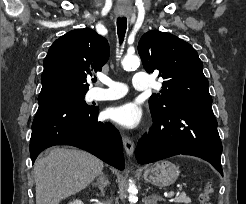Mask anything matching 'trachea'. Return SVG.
Here are the masks:
<instances>
[{"label": "trachea", "mask_w": 246, "mask_h": 204, "mask_svg": "<svg viewBox=\"0 0 246 204\" xmlns=\"http://www.w3.org/2000/svg\"><path fill=\"white\" fill-rule=\"evenodd\" d=\"M126 29H127V19L126 18H118L117 19V33H118L120 44L123 43ZM93 81L95 82L96 79Z\"/></svg>", "instance_id": "obj_1"}]
</instances>
